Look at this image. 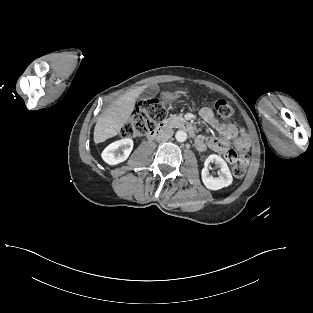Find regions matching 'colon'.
Here are the masks:
<instances>
[{"instance_id":"5ec220e1","label":"colon","mask_w":313,"mask_h":313,"mask_svg":"<svg viewBox=\"0 0 313 313\" xmlns=\"http://www.w3.org/2000/svg\"><path fill=\"white\" fill-rule=\"evenodd\" d=\"M217 115L221 118H230L233 115L232 106L224 99L213 98L211 101ZM168 115L166 106L156 99L140 101L133 111L129 121L125 123L120 135L123 138L139 137L153 131L157 125ZM225 158L233 164L232 172L237 178L244 176L248 157L237 155L236 152H229Z\"/></svg>"}]
</instances>
